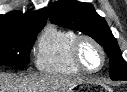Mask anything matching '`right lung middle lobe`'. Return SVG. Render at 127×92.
Here are the masks:
<instances>
[{
	"mask_svg": "<svg viewBox=\"0 0 127 92\" xmlns=\"http://www.w3.org/2000/svg\"><path fill=\"white\" fill-rule=\"evenodd\" d=\"M42 27L14 34H0V65L25 66L30 50Z\"/></svg>",
	"mask_w": 127,
	"mask_h": 92,
	"instance_id": "1",
	"label": "right lung middle lobe"
}]
</instances>
